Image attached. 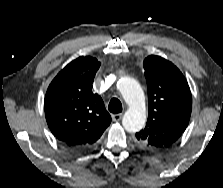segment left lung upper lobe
I'll use <instances>...</instances> for the list:
<instances>
[{
    "instance_id": "5c2ea615",
    "label": "left lung upper lobe",
    "mask_w": 223,
    "mask_h": 188,
    "mask_svg": "<svg viewBox=\"0 0 223 188\" xmlns=\"http://www.w3.org/2000/svg\"><path fill=\"white\" fill-rule=\"evenodd\" d=\"M143 66L148 88V121L136 133L140 144L151 151L169 148L185 131L192 97L180 70L168 60L151 55Z\"/></svg>"
}]
</instances>
